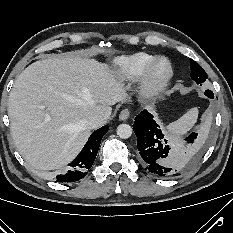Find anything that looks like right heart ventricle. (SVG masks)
Wrapping results in <instances>:
<instances>
[{
	"label": "right heart ventricle",
	"mask_w": 233,
	"mask_h": 233,
	"mask_svg": "<svg viewBox=\"0 0 233 233\" xmlns=\"http://www.w3.org/2000/svg\"><path fill=\"white\" fill-rule=\"evenodd\" d=\"M156 58V56L146 52L118 57L113 62V72L119 79L131 81L138 78Z\"/></svg>",
	"instance_id": "right-heart-ventricle-1"
}]
</instances>
